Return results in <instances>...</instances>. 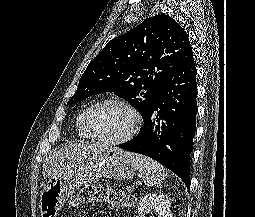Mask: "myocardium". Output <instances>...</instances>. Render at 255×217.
<instances>
[{
  "instance_id": "f54148a6",
  "label": "myocardium",
  "mask_w": 255,
  "mask_h": 217,
  "mask_svg": "<svg viewBox=\"0 0 255 217\" xmlns=\"http://www.w3.org/2000/svg\"><path fill=\"white\" fill-rule=\"evenodd\" d=\"M104 104L120 105V106L126 108L132 115L133 123H132L130 129L128 130V132L125 135H123L122 137H120L118 139L109 140V139L102 138L99 135H97L91 128V125H90L91 112L96 107L104 105ZM83 125H84L85 130L87 131V133L90 135L91 138H93L103 144H106V145L117 146V145H121V144L128 142L136 135V133L141 128L142 118H141V115H140L139 111L137 110V108L131 102H129L125 99H122V98L112 97V98L101 99V100L93 103L92 105H90L84 112Z\"/></svg>"
}]
</instances>
